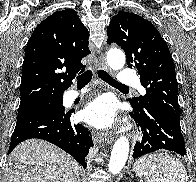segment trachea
<instances>
[{
    "label": "trachea",
    "mask_w": 196,
    "mask_h": 182,
    "mask_svg": "<svg viewBox=\"0 0 196 182\" xmlns=\"http://www.w3.org/2000/svg\"><path fill=\"white\" fill-rule=\"evenodd\" d=\"M98 75H99V77L102 80H104L105 82H107L110 85L119 86V87H126L125 85H123V84L119 83L118 81H116L113 77H111L104 70H99L98 71ZM91 79H92V71L91 70H87L84 73H82L79 76H77V84L78 85H86V84H88L90 82Z\"/></svg>",
    "instance_id": "3493384b"
}]
</instances>
